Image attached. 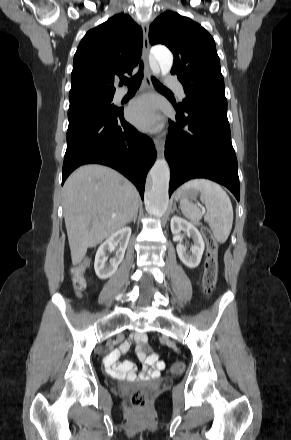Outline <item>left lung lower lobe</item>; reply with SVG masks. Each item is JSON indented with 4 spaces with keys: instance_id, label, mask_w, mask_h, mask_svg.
I'll list each match as a JSON object with an SVG mask.
<instances>
[{
    "instance_id": "obj_1",
    "label": "left lung lower lobe",
    "mask_w": 291,
    "mask_h": 440,
    "mask_svg": "<svg viewBox=\"0 0 291 440\" xmlns=\"http://www.w3.org/2000/svg\"><path fill=\"white\" fill-rule=\"evenodd\" d=\"M183 111L186 115H183ZM170 121L165 157L170 165L169 196L182 183L207 178L240 199L238 164L231 143L227 106L189 102Z\"/></svg>"
}]
</instances>
